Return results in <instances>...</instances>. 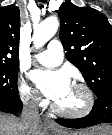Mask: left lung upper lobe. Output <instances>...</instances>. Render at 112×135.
Here are the masks:
<instances>
[{"label":"left lung upper lobe","instance_id":"1","mask_svg":"<svg viewBox=\"0 0 112 135\" xmlns=\"http://www.w3.org/2000/svg\"><path fill=\"white\" fill-rule=\"evenodd\" d=\"M58 14L60 39L69 62L81 71L98 98L112 94V27L107 17L70 0L62 3Z\"/></svg>","mask_w":112,"mask_h":135}]
</instances>
